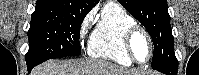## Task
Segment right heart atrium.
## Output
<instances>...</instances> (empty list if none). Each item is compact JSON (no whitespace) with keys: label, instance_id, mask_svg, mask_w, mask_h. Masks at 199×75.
<instances>
[{"label":"right heart atrium","instance_id":"1","mask_svg":"<svg viewBox=\"0 0 199 75\" xmlns=\"http://www.w3.org/2000/svg\"><path fill=\"white\" fill-rule=\"evenodd\" d=\"M92 20H93V15L90 13L82 21V23L80 25V29H79V38H80V41H83L85 35L89 31L91 23H92Z\"/></svg>","mask_w":199,"mask_h":75}]
</instances>
